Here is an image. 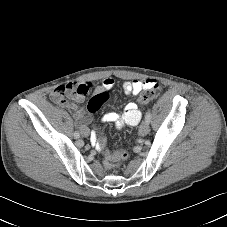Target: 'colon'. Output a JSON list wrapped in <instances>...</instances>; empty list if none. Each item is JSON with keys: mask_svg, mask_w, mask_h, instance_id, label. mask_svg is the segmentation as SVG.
<instances>
[{"mask_svg": "<svg viewBox=\"0 0 227 227\" xmlns=\"http://www.w3.org/2000/svg\"><path fill=\"white\" fill-rule=\"evenodd\" d=\"M79 88L74 86L73 84H67L60 86L56 89L55 92V98H63L66 97L68 94L73 93L77 91ZM159 92V84L153 80L152 85L150 88L146 90V92L141 97V102H148L152 99H154ZM109 94L107 91L100 92L96 94L92 99L89 101L88 104V110L90 113H95L101 109V107L104 105V103L108 100ZM105 160L107 164H111L113 161L118 159H123L127 156L126 152H120L119 149H113L112 152L106 151L104 153Z\"/></svg>", "mask_w": 227, "mask_h": 227, "instance_id": "1", "label": "colon"}]
</instances>
